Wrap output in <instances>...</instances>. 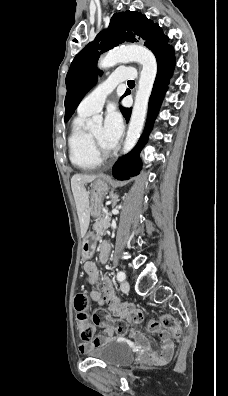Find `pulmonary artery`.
Returning <instances> with one entry per match:
<instances>
[{"label":"pulmonary artery","instance_id":"1","mask_svg":"<svg viewBox=\"0 0 228 396\" xmlns=\"http://www.w3.org/2000/svg\"><path fill=\"white\" fill-rule=\"evenodd\" d=\"M137 72L132 67H123L117 69L109 77L99 83L78 106V112L81 114H93L98 112L106 97L114 90V88L121 82L134 79Z\"/></svg>","mask_w":228,"mask_h":396}]
</instances>
